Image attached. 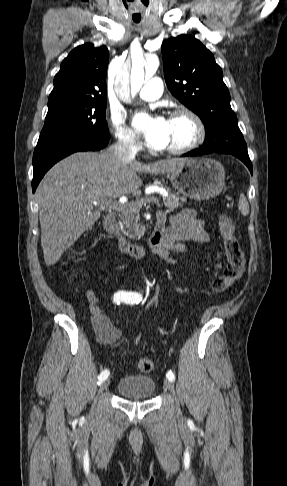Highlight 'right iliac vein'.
<instances>
[{"label":"right iliac vein","instance_id":"right-iliac-vein-1","mask_svg":"<svg viewBox=\"0 0 287 486\" xmlns=\"http://www.w3.org/2000/svg\"><path fill=\"white\" fill-rule=\"evenodd\" d=\"M110 381L108 379L104 380L101 385L99 391L102 392L109 386Z\"/></svg>","mask_w":287,"mask_h":486}]
</instances>
